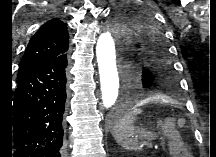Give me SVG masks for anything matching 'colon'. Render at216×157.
Here are the masks:
<instances>
[{
  "instance_id": "5ec220e1",
  "label": "colon",
  "mask_w": 216,
  "mask_h": 157,
  "mask_svg": "<svg viewBox=\"0 0 216 157\" xmlns=\"http://www.w3.org/2000/svg\"><path fill=\"white\" fill-rule=\"evenodd\" d=\"M164 126L168 132H172L175 127L181 126V122L175 119H167L164 123Z\"/></svg>"
}]
</instances>
